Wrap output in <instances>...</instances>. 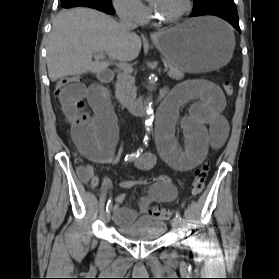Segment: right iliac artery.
I'll use <instances>...</instances> for the list:
<instances>
[{"label": "right iliac artery", "mask_w": 279, "mask_h": 279, "mask_svg": "<svg viewBox=\"0 0 279 279\" xmlns=\"http://www.w3.org/2000/svg\"><path fill=\"white\" fill-rule=\"evenodd\" d=\"M142 151H143L142 148H140V149L137 150V152L127 155L125 157V161H131V160L139 157V155L142 153ZM111 205H112L111 200H108L106 210L110 209Z\"/></svg>", "instance_id": "1"}]
</instances>
